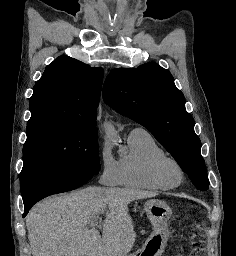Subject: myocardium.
I'll return each mask as SVG.
<instances>
[{
  "instance_id": "1",
  "label": "myocardium",
  "mask_w": 236,
  "mask_h": 256,
  "mask_svg": "<svg viewBox=\"0 0 236 256\" xmlns=\"http://www.w3.org/2000/svg\"><path fill=\"white\" fill-rule=\"evenodd\" d=\"M151 174L156 182L167 187L179 186L185 179L182 164L176 158L167 155L153 162Z\"/></svg>"
}]
</instances>
